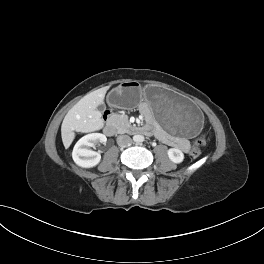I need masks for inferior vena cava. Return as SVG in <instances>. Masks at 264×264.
Segmentation results:
<instances>
[{
  "mask_svg": "<svg viewBox=\"0 0 264 264\" xmlns=\"http://www.w3.org/2000/svg\"><path fill=\"white\" fill-rule=\"evenodd\" d=\"M117 144L120 147H127L132 144V139L128 135H120L117 138Z\"/></svg>",
  "mask_w": 264,
  "mask_h": 264,
  "instance_id": "inferior-vena-cava-1",
  "label": "inferior vena cava"
}]
</instances>
